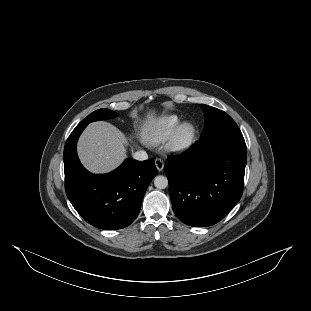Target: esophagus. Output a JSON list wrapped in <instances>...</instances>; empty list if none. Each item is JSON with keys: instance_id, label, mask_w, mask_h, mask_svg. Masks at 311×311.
Here are the masks:
<instances>
[{"instance_id": "34e87169", "label": "esophagus", "mask_w": 311, "mask_h": 311, "mask_svg": "<svg viewBox=\"0 0 311 311\" xmlns=\"http://www.w3.org/2000/svg\"><path fill=\"white\" fill-rule=\"evenodd\" d=\"M155 165L159 172H161L164 168V161L162 159H155Z\"/></svg>"}]
</instances>
